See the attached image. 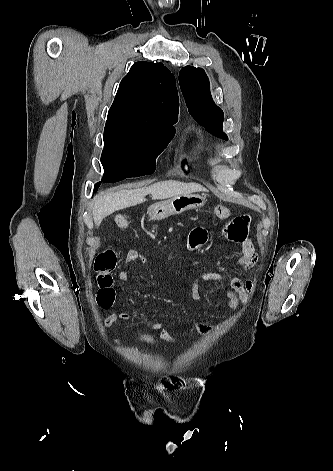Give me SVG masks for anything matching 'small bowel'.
<instances>
[{
  "instance_id": "obj_1",
  "label": "small bowel",
  "mask_w": 333,
  "mask_h": 471,
  "mask_svg": "<svg viewBox=\"0 0 333 471\" xmlns=\"http://www.w3.org/2000/svg\"><path fill=\"white\" fill-rule=\"evenodd\" d=\"M250 216L239 215L230 219L224 226V234L230 241L236 242L240 246V257L237 261V267L241 271H246L255 266L258 261V256L255 251L252 241L248 238ZM208 240V232L203 227L194 228L189 236V247L196 249ZM124 262L126 269L119 272L118 277L121 281L125 282L128 278L129 269L135 262L145 264L147 259L137 250H130L127 252ZM199 280L204 282H227L228 287L226 290L227 301L226 304L229 308H235L239 304L247 305L250 301V296L254 291V283L251 279L243 280L237 276H229L222 272L207 271L203 272L198 277ZM193 297L196 298L197 293L195 288L192 291ZM129 319V314L126 312L111 313L104 320V327L109 328L120 322ZM144 323L150 328L159 331V337L165 342H175L176 337L161 323L152 321L146 317L143 319ZM194 329L199 334H209L212 332V327L208 324L195 322ZM113 343L120 345L118 339H114Z\"/></svg>"
}]
</instances>
